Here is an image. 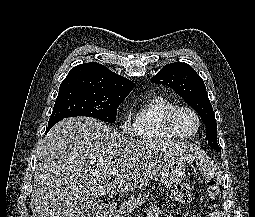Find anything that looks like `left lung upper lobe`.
I'll return each instance as SVG.
<instances>
[{"instance_id": "1", "label": "left lung upper lobe", "mask_w": 255, "mask_h": 217, "mask_svg": "<svg viewBox=\"0 0 255 217\" xmlns=\"http://www.w3.org/2000/svg\"><path fill=\"white\" fill-rule=\"evenodd\" d=\"M156 84L172 88L190 105L206 125V140L209 146L217 151L221 148L217 143V124L212 105L208 98L202 78L187 63H171L164 66L151 79Z\"/></svg>"}]
</instances>
